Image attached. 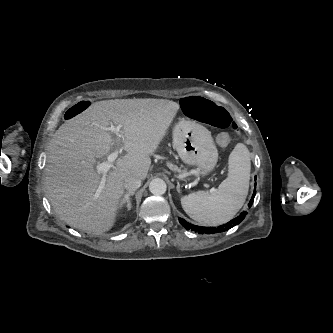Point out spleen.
Here are the masks:
<instances>
[{
    "instance_id": "1",
    "label": "spleen",
    "mask_w": 333,
    "mask_h": 333,
    "mask_svg": "<svg viewBox=\"0 0 333 333\" xmlns=\"http://www.w3.org/2000/svg\"><path fill=\"white\" fill-rule=\"evenodd\" d=\"M228 177L213 191H198L181 198L184 211L204 225L230 220L243 206L249 189L250 152L239 143L229 155Z\"/></svg>"
}]
</instances>
